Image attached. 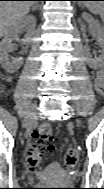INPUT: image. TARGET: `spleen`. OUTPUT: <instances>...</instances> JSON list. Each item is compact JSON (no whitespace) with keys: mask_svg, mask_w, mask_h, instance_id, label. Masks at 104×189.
<instances>
[{"mask_svg":"<svg viewBox=\"0 0 104 189\" xmlns=\"http://www.w3.org/2000/svg\"><path fill=\"white\" fill-rule=\"evenodd\" d=\"M85 6L92 13H102L103 12V2L102 1H85Z\"/></svg>","mask_w":104,"mask_h":189,"instance_id":"spleen-1","label":"spleen"}]
</instances>
